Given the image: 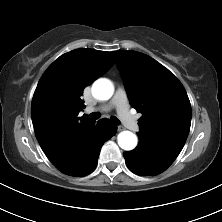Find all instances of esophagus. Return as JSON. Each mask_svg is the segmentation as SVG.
<instances>
[{"mask_svg": "<svg viewBox=\"0 0 222 222\" xmlns=\"http://www.w3.org/2000/svg\"><path fill=\"white\" fill-rule=\"evenodd\" d=\"M117 130H118V131H123V130H124V127H122V126H117Z\"/></svg>", "mask_w": 222, "mask_h": 222, "instance_id": "esophagus-1", "label": "esophagus"}]
</instances>
